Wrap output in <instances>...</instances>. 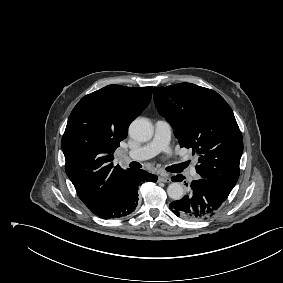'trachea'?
Returning <instances> with one entry per match:
<instances>
[{
	"mask_svg": "<svg viewBox=\"0 0 283 283\" xmlns=\"http://www.w3.org/2000/svg\"><path fill=\"white\" fill-rule=\"evenodd\" d=\"M184 165H187V163H184ZM129 166L131 167V168H136V169H139V168H141L142 167V165L140 164V163H138V162H131L130 164H129Z\"/></svg>",
	"mask_w": 283,
	"mask_h": 283,
	"instance_id": "1",
	"label": "trachea"
}]
</instances>
